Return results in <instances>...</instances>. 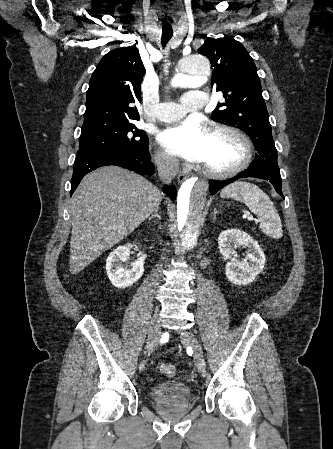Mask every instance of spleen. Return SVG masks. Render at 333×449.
I'll use <instances>...</instances> for the list:
<instances>
[{"label":"spleen","mask_w":333,"mask_h":449,"mask_svg":"<svg viewBox=\"0 0 333 449\" xmlns=\"http://www.w3.org/2000/svg\"><path fill=\"white\" fill-rule=\"evenodd\" d=\"M220 195L223 198H232L244 202L258 217L259 227L268 236L272 238L283 236L280 216L269 196L258 186L238 181L222 189Z\"/></svg>","instance_id":"1"}]
</instances>
